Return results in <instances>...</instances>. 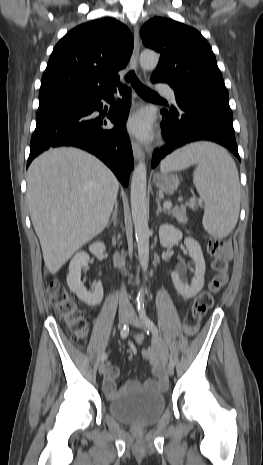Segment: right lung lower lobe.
<instances>
[{
	"label": "right lung lower lobe",
	"instance_id": "right-lung-lower-lobe-1",
	"mask_svg": "<svg viewBox=\"0 0 263 465\" xmlns=\"http://www.w3.org/2000/svg\"><path fill=\"white\" fill-rule=\"evenodd\" d=\"M113 91L84 95L70 103L38 110L27 167L36 156L51 147L75 146L96 155L127 186L134 167L125 129L131 104L130 90L122 88L123 99L110 108L107 117L116 125L112 130L104 129L102 126L106 122L92 115L93 111L102 109L101 99L109 101Z\"/></svg>",
	"mask_w": 263,
	"mask_h": 465
}]
</instances>
